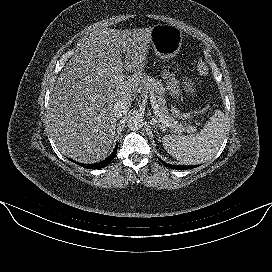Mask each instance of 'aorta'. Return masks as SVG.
Wrapping results in <instances>:
<instances>
[{
	"label": "aorta",
	"mask_w": 272,
	"mask_h": 272,
	"mask_svg": "<svg viewBox=\"0 0 272 272\" xmlns=\"http://www.w3.org/2000/svg\"><path fill=\"white\" fill-rule=\"evenodd\" d=\"M127 126L130 130H139L143 126V119L140 116H131L127 122Z\"/></svg>",
	"instance_id": "obj_1"
}]
</instances>
